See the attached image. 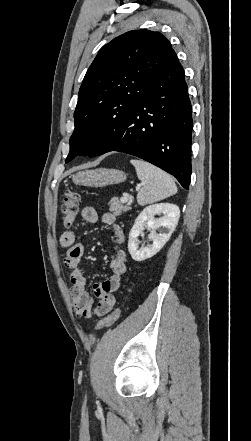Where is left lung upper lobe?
<instances>
[{"instance_id":"1","label":"left lung upper lobe","mask_w":251,"mask_h":441,"mask_svg":"<svg viewBox=\"0 0 251 441\" xmlns=\"http://www.w3.org/2000/svg\"><path fill=\"white\" fill-rule=\"evenodd\" d=\"M174 54L166 37L149 30L126 32L101 48L79 90L66 163L90 156L94 131L122 121Z\"/></svg>"}]
</instances>
